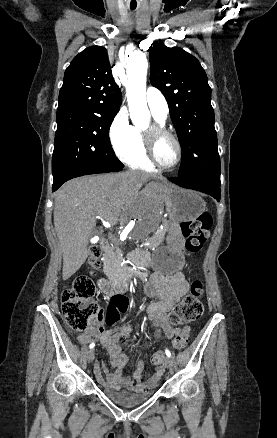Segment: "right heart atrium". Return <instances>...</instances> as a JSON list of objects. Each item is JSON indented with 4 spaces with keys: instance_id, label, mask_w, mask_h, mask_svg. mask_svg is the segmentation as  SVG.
I'll list each match as a JSON object with an SVG mask.
<instances>
[{
    "instance_id": "d8ad5b80",
    "label": "right heart atrium",
    "mask_w": 277,
    "mask_h": 438,
    "mask_svg": "<svg viewBox=\"0 0 277 438\" xmlns=\"http://www.w3.org/2000/svg\"><path fill=\"white\" fill-rule=\"evenodd\" d=\"M110 139L115 151L123 155L132 150L134 145V130L129 124L127 114L123 111L115 116L109 130Z\"/></svg>"
}]
</instances>
